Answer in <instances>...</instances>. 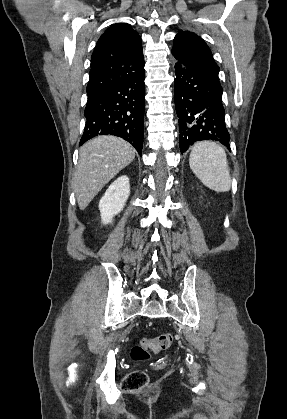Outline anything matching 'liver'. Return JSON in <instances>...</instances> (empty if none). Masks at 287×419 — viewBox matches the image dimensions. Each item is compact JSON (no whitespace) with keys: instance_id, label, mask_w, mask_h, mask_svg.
Masks as SVG:
<instances>
[{"instance_id":"liver-1","label":"liver","mask_w":287,"mask_h":419,"mask_svg":"<svg viewBox=\"0 0 287 419\" xmlns=\"http://www.w3.org/2000/svg\"><path fill=\"white\" fill-rule=\"evenodd\" d=\"M135 158V149L115 136H98L80 148L73 177L78 206L84 210L98 192Z\"/></svg>"}]
</instances>
